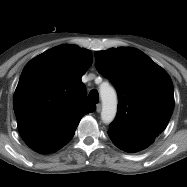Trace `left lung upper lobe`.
<instances>
[{"label":"left lung upper lobe","instance_id":"5c2ea615","mask_svg":"<svg viewBox=\"0 0 187 187\" xmlns=\"http://www.w3.org/2000/svg\"><path fill=\"white\" fill-rule=\"evenodd\" d=\"M96 68L115 86L118 111L108 134L126 135L129 145L148 146L166 128L174 108L167 72L133 48L96 51Z\"/></svg>","mask_w":187,"mask_h":187}]
</instances>
